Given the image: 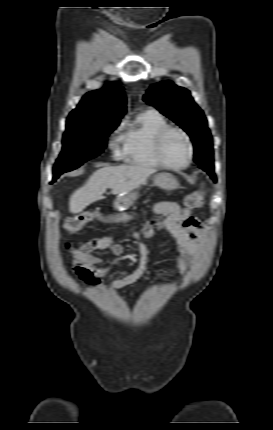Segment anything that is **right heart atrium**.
<instances>
[{
  "label": "right heart atrium",
  "instance_id": "right-heart-atrium-1",
  "mask_svg": "<svg viewBox=\"0 0 273 430\" xmlns=\"http://www.w3.org/2000/svg\"><path fill=\"white\" fill-rule=\"evenodd\" d=\"M120 129H121V126H119L116 129L115 134L112 136V138L109 141V148L115 157H120L123 154L124 142H123V136L119 135Z\"/></svg>",
  "mask_w": 273,
  "mask_h": 430
}]
</instances>
